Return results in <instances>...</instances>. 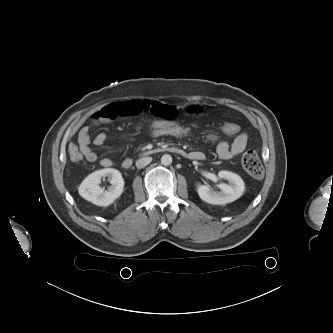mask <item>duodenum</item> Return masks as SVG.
Segmentation results:
<instances>
[{"instance_id": "obj_1", "label": "duodenum", "mask_w": 333, "mask_h": 333, "mask_svg": "<svg viewBox=\"0 0 333 333\" xmlns=\"http://www.w3.org/2000/svg\"><path fill=\"white\" fill-rule=\"evenodd\" d=\"M167 150L169 152L176 153V154H181V155L184 154L182 150H180V149H178L176 147H169ZM158 151H159V149H153V150H150L149 153L150 154H154V153H157ZM132 163L133 162H132V160L130 158H126L122 162V167L124 169H129V168H131Z\"/></svg>"}]
</instances>
